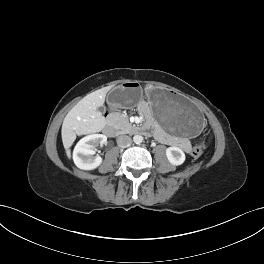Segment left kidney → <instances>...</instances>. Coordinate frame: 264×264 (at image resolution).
<instances>
[{"mask_svg": "<svg viewBox=\"0 0 264 264\" xmlns=\"http://www.w3.org/2000/svg\"><path fill=\"white\" fill-rule=\"evenodd\" d=\"M166 156L168 161L172 164V165H181L184 163L185 161V154L184 152L175 146L172 147H168L166 149Z\"/></svg>", "mask_w": 264, "mask_h": 264, "instance_id": "5707ae66", "label": "left kidney"}]
</instances>
